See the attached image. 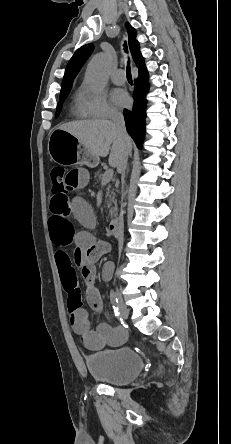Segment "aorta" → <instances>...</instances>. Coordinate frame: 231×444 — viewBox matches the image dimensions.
<instances>
[{
    "instance_id": "aorta-1",
    "label": "aorta",
    "mask_w": 231,
    "mask_h": 444,
    "mask_svg": "<svg viewBox=\"0 0 231 444\" xmlns=\"http://www.w3.org/2000/svg\"><path fill=\"white\" fill-rule=\"evenodd\" d=\"M110 66V58L106 54L94 57L86 71V82L93 91H101L107 82L106 76Z\"/></svg>"
}]
</instances>
